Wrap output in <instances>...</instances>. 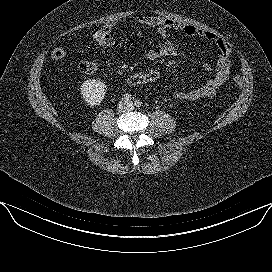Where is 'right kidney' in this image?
I'll return each mask as SVG.
<instances>
[{"label": "right kidney", "instance_id": "ca27d5eb", "mask_svg": "<svg viewBox=\"0 0 272 272\" xmlns=\"http://www.w3.org/2000/svg\"><path fill=\"white\" fill-rule=\"evenodd\" d=\"M80 89L83 100L90 106H97L104 99L107 86L98 79H90L84 81Z\"/></svg>", "mask_w": 272, "mask_h": 272}]
</instances>
